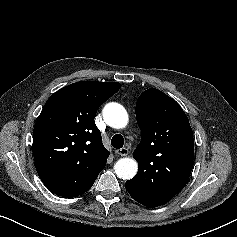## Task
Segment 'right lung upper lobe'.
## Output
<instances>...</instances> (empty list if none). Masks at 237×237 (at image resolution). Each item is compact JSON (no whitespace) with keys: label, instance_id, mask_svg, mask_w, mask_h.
Instances as JSON below:
<instances>
[{"label":"right lung upper lobe","instance_id":"1","mask_svg":"<svg viewBox=\"0 0 237 237\" xmlns=\"http://www.w3.org/2000/svg\"><path fill=\"white\" fill-rule=\"evenodd\" d=\"M121 87L117 82L81 81L55 92L33 133V155L43 183L62 197L88 191L105 167L109 152L94 117Z\"/></svg>","mask_w":237,"mask_h":237}]
</instances>
